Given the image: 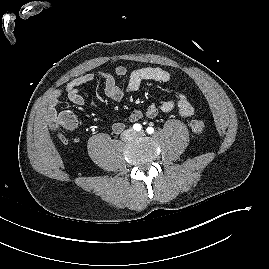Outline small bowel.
I'll return each mask as SVG.
<instances>
[{"label": "small bowel", "mask_w": 269, "mask_h": 269, "mask_svg": "<svg viewBox=\"0 0 269 269\" xmlns=\"http://www.w3.org/2000/svg\"><path fill=\"white\" fill-rule=\"evenodd\" d=\"M127 77V83L124 88L119 84V80ZM96 78H102L104 80V92L105 95L114 100L120 101L125 93H131L139 90L141 85L146 81H155L160 83H168L171 81V75L168 71L151 66H140L130 73L124 66H118L115 70V74L112 75L107 72L99 71L97 73H86L72 79L64 89H57L52 92L48 101V114L51 118H58L62 113H58L57 107L59 105L60 98L64 95L67 99L77 105L84 104V98L79 92V88L85 84L94 81ZM95 106V105H94ZM177 108L178 114L182 118L191 117L194 113V108L187 95L180 94L176 99H170L163 102L160 106L154 104L148 106L145 112L141 110H134L128 117V121L131 123L138 122L145 115L148 118H155L159 111L169 113ZM66 112V111H65ZM125 124L123 122H116L112 126L114 133L118 134L122 132Z\"/></svg>", "instance_id": "1"}]
</instances>
